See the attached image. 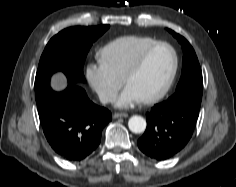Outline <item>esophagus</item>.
Wrapping results in <instances>:
<instances>
[{
  "label": "esophagus",
  "mask_w": 236,
  "mask_h": 187,
  "mask_svg": "<svg viewBox=\"0 0 236 187\" xmlns=\"http://www.w3.org/2000/svg\"><path fill=\"white\" fill-rule=\"evenodd\" d=\"M121 117H123V118H125V117H128V114L127 113H114L113 114V118H121Z\"/></svg>",
  "instance_id": "34e87169"
}]
</instances>
